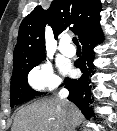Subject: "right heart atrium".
I'll list each match as a JSON object with an SVG mask.
<instances>
[{
  "label": "right heart atrium",
  "instance_id": "obj_1",
  "mask_svg": "<svg viewBox=\"0 0 117 131\" xmlns=\"http://www.w3.org/2000/svg\"><path fill=\"white\" fill-rule=\"evenodd\" d=\"M28 82L37 91L52 90L60 83L47 64H41L33 68L28 75Z\"/></svg>",
  "mask_w": 117,
  "mask_h": 131
}]
</instances>
